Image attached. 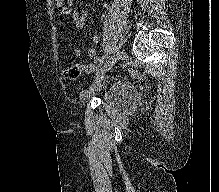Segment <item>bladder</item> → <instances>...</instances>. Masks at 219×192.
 I'll list each match as a JSON object with an SVG mask.
<instances>
[{
	"mask_svg": "<svg viewBox=\"0 0 219 192\" xmlns=\"http://www.w3.org/2000/svg\"><path fill=\"white\" fill-rule=\"evenodd\" d=\"M89 96L92 90H84ZM101 103L121 113L134 111L138 106V94L131 82L122 78H114L97 91Z\"/></svg>",
	"mask_w": 219,
	"mask_h": 192,
	"instance_id": "31cf9c89",
	"label": "bladder"
}]
</instances>
